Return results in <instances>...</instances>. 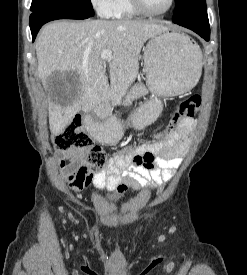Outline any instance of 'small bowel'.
<instances>
[{
	"label": "small bowel",
	"instance_id": "small-bowel-1",
	"mask_svg": "<svg viewBox=\"0 0 247 275\" xmlns=\"http://www.w3.org/2000/svg\"><path fill=\"white\" fill-rule=\"evenodd\" d=\"M195 120L184 119L180 128L166 139L139 146L134 154L115 155L105 169L92 173L80 155L59 152L55 156L59 174L74 192L82 193L89 187L97 191H113L121 184L141 187H158L167 182L182 163L187 151Z\"/></svg>",
	"mask_w": 247,
	"mask_h": 275
}]
</instances>
